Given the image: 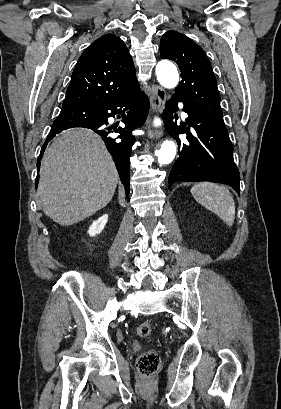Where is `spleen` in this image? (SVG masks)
I'll return each mask as SVG.
<instances>
[{
    "label": "spleen",
    "instance_id": "spleen-1",
    "mask_svg": "<svg viewBox=\"0 0 281 409\" xmlns=\"http://www.w3.org/2000/svg\"><path fill=\"white\" fill-rule=\"evenodd\" d=\"M195 200L199 205L218 215L226 225L232 227L235 219L234 198L226 186L216 182H199L191 188Z\"/></svg>",
    "mask_w": 281,
    "mask_h": 409
}]
</instances>
